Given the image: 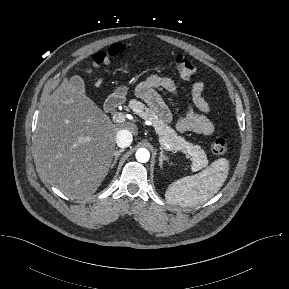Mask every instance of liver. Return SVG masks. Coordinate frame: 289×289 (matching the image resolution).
I'll return each mask as SVG.
<instances>
[{"mask_svg":"<svg viewBox=\"0 0 289 289\" xmlns=\"http://www.w3.org/2000/svg\"><path fill=\"white\" fill-rule=\"evenodd\" d=\"M121 129L138 130L131 122L113 124L84 90L64 79L39 116L34 147L38 172L69 198L91 196L109 172Z\"/></svg>","mask_w":289,"mask_h":289,"instance_id":"1","label":"liver"}]
</instances>
